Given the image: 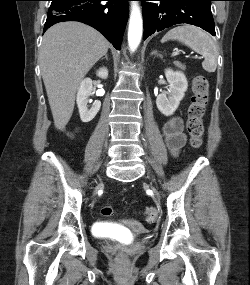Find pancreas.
I'll use <instances>...</instances> for the list:
<instances>
[{
    "label": "pancreas",
    "mask_w": 250,
    "mask_h": 285,
    "mask_svg": "<svg viewBox=\"0 0 250 285\" xmlns=\"http://www.w3.org/2000/svg\"><path fill=\"white\" fill-rule=\"evenodd\" d=\"M174 65L182 70H185V65H183L182 63H180L179 61H175Z\"/></svg>",
    "instance_id": "pancreas-1"
}]
</instances>
